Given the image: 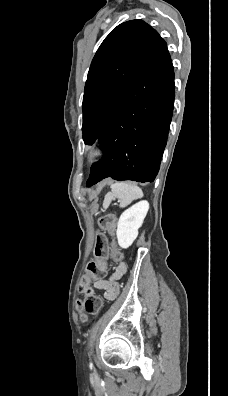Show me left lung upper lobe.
<instances>
[{
  "label": "left lung upper lobe",
  "instance_id": "5c2ea615",
  "mask_svg": "<svg viewBox=\"0 0 228 396\" xmlns=\"http://www.w3.org/2000/svg\"><path fill=\"white\" fill-rule=\"evenodd\" d=\"M160 36L142 20L114 28L97 50L85 84L83 140L98 138L110 113L140 74Z\"/></svg>",
  "mask_w": 228,
  "mask_h": 396
}]
</instances>
